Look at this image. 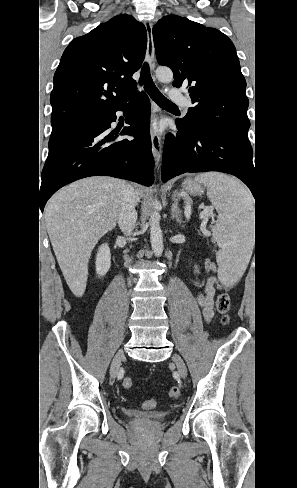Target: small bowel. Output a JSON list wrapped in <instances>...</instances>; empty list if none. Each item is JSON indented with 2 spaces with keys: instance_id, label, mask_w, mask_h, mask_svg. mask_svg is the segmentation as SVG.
Listing matches in <instances>:
<instances>
[{
  "instance_id": "obj_1",
  "label": "small bowel",
  "mask_w": 297,
  "mask_h": 488,
  "mask_svg": "<svg viewBox=\"0 0 297 488\" xmlns=\"http://www.w3.org/2000/svg\"><path fill=\"white\" fill-rule=\"evenodd\" d=\"M196 278L199 275L198 267L193 268ZM199 291L197 293V302L201 308L203 318L209 322L214 316V298L217 291L222 290L224 285L216 276H209L205 282L197 281Z\"/></svg>"
}]
</instances>
